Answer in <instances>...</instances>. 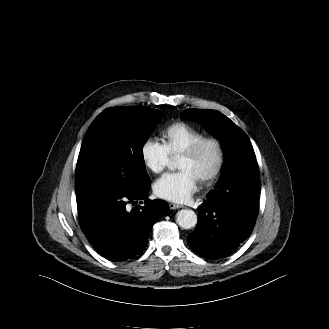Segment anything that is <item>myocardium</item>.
<instances>
[{
	"mask_svg": "<svg viewBox=\"0 0 329 329\" xmlns=\"http://www.w3.org/2000/svg\"><path fill=\"white\" fill-rule=\"evenodd\" d=\"M207 145L214 147L216 152V161L212 170L199 179L201 183H209L221 174L225 164V149L222 141L215 136H204L191 144L180 154V156L192 158L197 156L199 152Z\"/></svg>",
	"mask_w": 329,
	"mask_h": 329,
	"instance_id": "f54148a6",
	"label": "myocardium"
}]
</instances>
